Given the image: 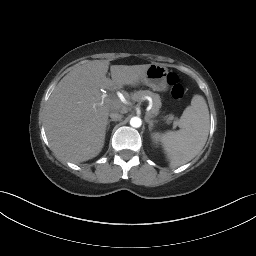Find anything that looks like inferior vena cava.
<instances>
[{
    "label": "inferior vena cava",
    "mask_w": 256,
    "mask_h": 256,
    "mask_svg": "<svg viewBox=\"0 0 256 256\" xmlns=\"http://www.w3.org/2000/svg\"><path fill=\"white\" fill-rule=\"evenodd\" d=\"M109 116L112 120H116V121H119L123 118L122 114H120L119 112H116V111L111 112Z\"/></svg>",
    "instance_id": "obj_1"
}]
</instances>
